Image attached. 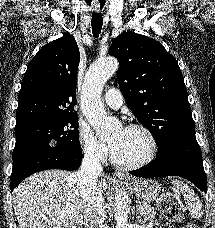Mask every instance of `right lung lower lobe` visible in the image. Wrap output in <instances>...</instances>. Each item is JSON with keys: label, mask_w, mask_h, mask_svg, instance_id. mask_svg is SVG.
Instances as JSON below:
<instances>
[{"label": "right lung lower lobe", "mask_w": 215, "mask_h": 228, "mask_svg": "<svg viewBox=\"0 0 215 228\" xmlns=\"http://www.w3.org/2000/svg\"><path fill=\"white\" fill-rule=\"evenodd\" d=\"M83 155L81 152H70L54 148L31 151L13 159L11 174V192L26 177L47 169L76 170Z\"/></svg>", "instance_id": "obj_1"}]
</instances>
